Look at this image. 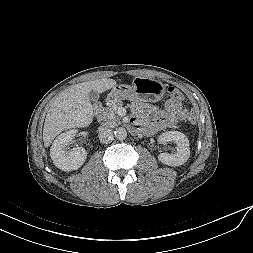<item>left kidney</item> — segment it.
<instances>
[{
    "label": "left kidney",
    "mask_w": 253,
    "mask_h": 253,
    "mask_svg": "<svg viewBox=\"0 0 253 253\" xmlns=\"http://www.w3.org/2000/svg\"><path fill=\"white\" fill-rule=\"evenodd\" d=\"M159 143L175 142L177 152L175 154L160 153L158 160L168 166H180L187 162L190 157L189 140L179 131H167L158 137Z\"/></svg>",
    "instance_id": "left-kidney-1"
}]
</instances>
